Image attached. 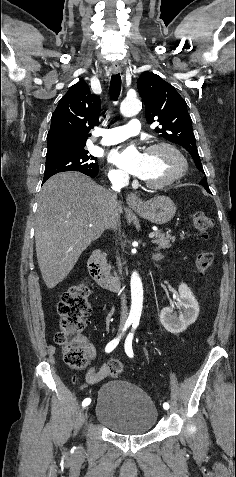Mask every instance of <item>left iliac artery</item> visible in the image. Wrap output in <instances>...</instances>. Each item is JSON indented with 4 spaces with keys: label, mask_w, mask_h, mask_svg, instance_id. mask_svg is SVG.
Segmentation results:
<instances>
[{
    "label": "left iliac artery",
    "mask_w": 236,
    "mask_h": 477,
    "mask_svg": "<svg viewBox=\"0 0 236 477\" xmlns=\"http://www.w3.org/2000/svg\"><path fill=\"white\" fill-rule=\"evenodd\" d=\"M138 324H139L138 322H133V325H132L133 329L128 334V336L125 340V345H124L125 346V352L130 358H132L134 356L133 349H132V340H133V334H134L133 332L136 329V327L138 326ZM165 407L168 408V409L170 407L167 402H165L163 404V408H165Z\"/></svg>",
    "instance_id": "44dca946"
}]
</instances>
